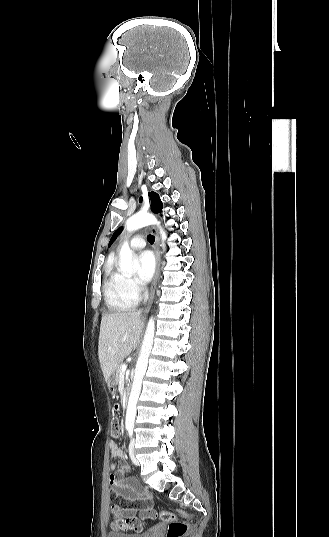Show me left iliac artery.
Instances as JSON below:
<instances>
[{
	"label": "left iliac artery",
	"instance_id": "obj_1",
	"mask_svg": "<svg viewBox=\"0 0 329 537\" xmlns=\"http://www.w3.org/2000/svg\"><path fill=\"white\" fill-rule=\"evenodd\" d=\"M128 432H129V436L131 437L133 434V429H129Z\"/></svg>",
	"mask_w": 329,
	"mask_h": 537
}]
</instances>
